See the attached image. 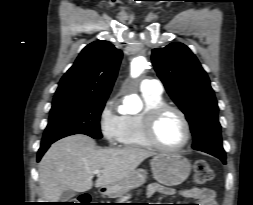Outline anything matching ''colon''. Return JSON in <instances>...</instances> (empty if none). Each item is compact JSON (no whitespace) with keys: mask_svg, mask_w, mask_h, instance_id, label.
Returning <instances> with one entry per match:
<instances>
[{"mask_svg":"<svg viewBox=\"0 0 253 205\" xmlns=\"http://www.w3.org/2000/svg\"><path fill=\"white\" fill-rule=\"evenodd\" d=\"M214 177L213 170L205 160H197L194 164L193 181L197 185L205 184L211 181ZM90 198L86 195H81L70 202L69 205H89Z\"/></svg>","mask_w":253,"mask_h":205,"instance_id":"obj_1","label":"colon"}]
</instances>
